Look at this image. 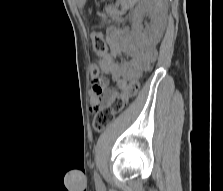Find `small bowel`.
<instances>
[{
	"label": "small bowel",
	"instance_id": "c3829d8e",
	"mask_svg": "<svg viewBox=\"0 0 223 191\" xmlns=\"http://www.w3.org/2000/svg\"><path fill=\"white\" fill-rule=\"evenodd\" d=\"M105 39L108 51L104 57L97 60L101 63L99 73L108 75L116 83L117 90L108 88V80L105 77L100 75V78H93L90 99L93 107L104 105L120 90H124L130 79L150 69L157 56L154 48H141L132 33L126 29L110 26L106 31ZM121 54L126 58L118 63L116 58Z\"/></svg>",
	"mask_w": 223,
	"mask_h": 191
}]
</instances>
